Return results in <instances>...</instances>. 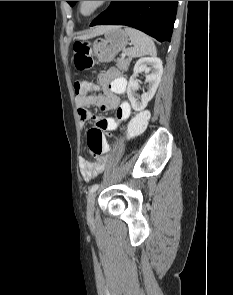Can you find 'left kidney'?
Returning <instances> with one entry per match:
<instances>
[{
	"label": "left kidney",
	"mask_w": 233,
	"mask_h": 295,
	"mask_svg": "<svg viewBox=\"0 0 233 295\" xmlns=\"http://www.w3.org/2000/svg\"><path fill=\"white\" fill-rule=\"evenodd\" d=\"M140 72L146 73V83H148L147 92H143L140 100L136 98L135 91L139 89V83L136 81V76ZM163 73L162 61L157 57H142L135 66L134 73L129 80L127 86V96L135 111H142L146 108L148 102L153 98L157 87L160 83Z\"/></svg>",
	"instance_id": "obj_1"
}]
</instances>
